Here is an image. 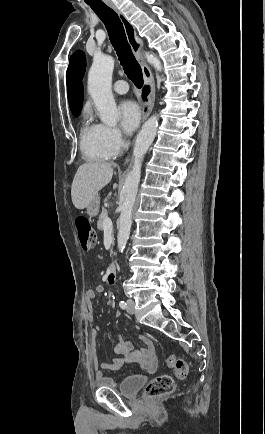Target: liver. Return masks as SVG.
Wrapping results in <instances>:
<instances>
[{
    "label": "liver",
    "instance_id": "liver-1",
    "mask_svg": "<svg viewBox=\"0 0 265 434\" xmlns=\"http://www.w3.org/2000/svg\"><path fill=\"white\" fill-rule=\"evenodd\" d=\"M114 162L100 164L90 162L79 166L71 186L72 202L77 210H84L97 196L99 190L107 186L112 180Z\"/></svg>",
    "mask_w": 265,
    "mask_h": 434
}]
</instances>
